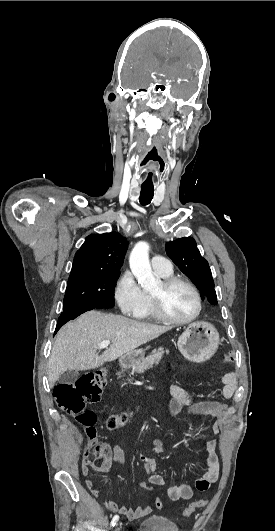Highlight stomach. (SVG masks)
<instances>
[{
	"label": "stomach",
	"mask_w": 275,
	"mask_h": 531,
	"mask_svg": "<svg viewBox=\"0 0 275 531\" xmlns=\"http://www.w3.org/2000/svg\"><path fill=\"white\" fill-rule=\"evenodd\" d=\"M178 349L188 361L194 363H204L215 355L219 345L220 337L217 329L210 325V323H192L181 337L178 339ZM143 349H136V351H129L126 355L121 357L123 365H132L137 361L144 359Z\"/></svg>",
	"instance_id": "stomach-1"
}]
</instances>
